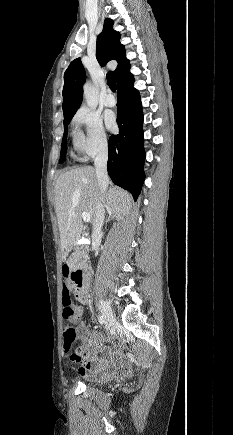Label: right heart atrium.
Returning <instances> with one entry per match:
<instances>
[{
  "mask_svg": "<svg viewBox=\"0 0 233 435\" xmlns=\"http://www.w3.org/2000/svg\"><path fill=\"white\" fill-rule=\"evenodd\" d=\"M73 124L84 130L76 144L83 156L94 157L107 149L108 137L96 112L87 108L79 109L73 118Z\"/></svg>",
  "mask_w": 233,
  "mask_h": 435,
  "instance_id": "obj_1",
  "label": "right heart atrium"
}]
</instances>
